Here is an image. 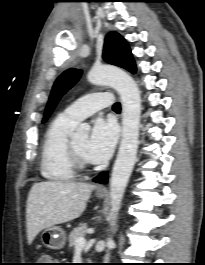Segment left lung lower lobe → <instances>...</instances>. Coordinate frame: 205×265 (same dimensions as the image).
<instances>
[{
	"label": "left lung lower lobe",
	"instance_id": "obj_1",
	"mask_svg": "<svg viewBox=\"0 0 205 265\" xmlns=\"http://www.w3.org/2000/svg\"><path fill=\"white\" fill-rule=\"evenodd\" d=\"M94 182L101 183V184H106L107 183V173L103 172L97 177L93 179Z\"/></svg>",
	"mask_w": 205,
	"mask_h": 265
}]
</instances>
